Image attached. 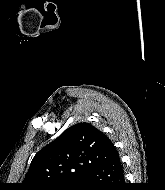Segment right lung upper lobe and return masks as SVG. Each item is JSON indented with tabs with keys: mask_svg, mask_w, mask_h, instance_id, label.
I'll return each instance as SVG.
<instances>
[{
	"mask_svg": "<svg viewBox=\"0 0 165 190\" xmlns=\"http://www.w3.org/2000/svg\"><path fill=\"white\" fill-rule=\"evenodd\" d=\"M118 154L110 139L88 123L66 129L33 158L23 190H51L73 184L96 165Z\"/></svg>",
	"mask_w": 165,
	"mask_h": 190,
	"instance_id": "obj_1",
	"label": "right lung upper lobe"
}]
</instances>
